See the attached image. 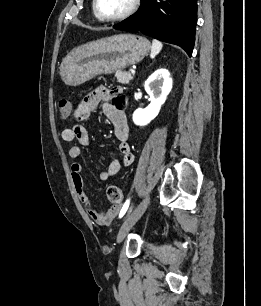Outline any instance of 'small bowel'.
I'll return each instance as SVG.
<instances>
[{
	"mask_svg": "<svg viewBox=\"0 0 261 306\" xmlns=\"http://www.w3.org/2000/svg\"><path fill=\"white\" fill-rule=\"evenodd\" d=\"M124 105L125 97L120 87L111 89L98 87L75 106L71 113V120L74 123L73 126L61 132V137L64 141H75L78 143V145L69 148V157L72 159L81 157V146H87L89 144L88 131L81 122L95 112L99 106L102 107L104 114L113 125L115 137L119 141L118 148L121 154V160L113 159L106 169L98 171V178L101 181H105L115 176L119 172L121 166H130L134 161V155L128 143L129 126L124 111ZM71 177L77 196L83 203L90 218L100 226H109L117 217L121 206L113 205L106 212H100L91 204L84 188L81 176V166L79 163H73L71 165Z\"/></svg>",
	"mask_w": 261,
	"mask_h": 306,
	"instance_id": "c3829d8e",
	"label": "small bowel"
}]
</instances>
